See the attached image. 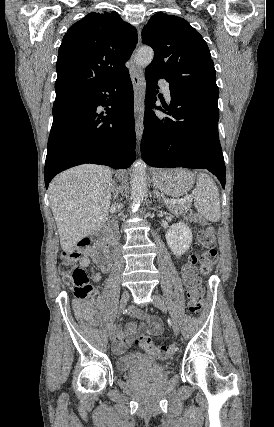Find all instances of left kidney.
Segmentation results:
<instances>
[{
	"label": "left kidney",
	"instance_id": "1",
	"mask_svg": "<svg viewBox=\"0 0 274 427\" xmlns=\"http://www.w3.org/2000/svg\"><path fill=\"white\" fill-rule=\"evenodd\" d=\"M165 237L171 251H173L174 255H178V257L189 249L193 239L190 227H188L187 223H183V221L170 225Z\"/></svg>",
	"mask_w": 274,
	"mask_h": 427
}]
</instances>
